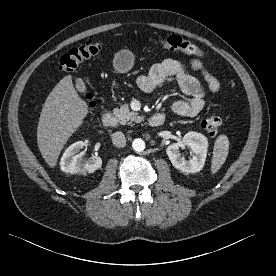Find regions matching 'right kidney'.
Masks as SVG:
<instances>
[{"mask_svg": "<svg viewBox=\"0 0 276 276\" xmlns=\"http://www.w3.org/2000/svg\"><path fill=\"white\" fill-rule=\"evenodd\" d=\"M85 146L83 141H77L70 145L61 157V170L69 174L93 173L102 165V160L98 156H92L89 160L82 158L83 152L80 150Z\"/></svg>", "mask_w": 276, "mask_h": 276, "instance_id": "1", "label": "right kidney"}]
</instances>
